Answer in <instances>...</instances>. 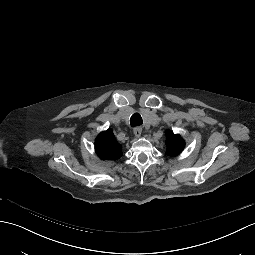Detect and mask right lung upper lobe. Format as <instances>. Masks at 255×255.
<instances>
[{"mask_svg":"<svg viewBox=\"0 0 255 255\" xmlns=\"http://www.w3.org/2000/svg\"><path fill=\"white\" fill-rule=\"evenodd\" d=\"M95 150L101 159L114 160L122 156V147L110 129L98 135L95 140Z\"/></svg>","mask_w":255,"mask_h":255,"instance_id":"1","label":"right lung upper lobe"}]
</instances>
